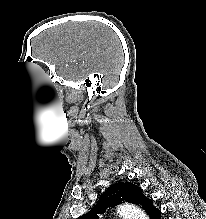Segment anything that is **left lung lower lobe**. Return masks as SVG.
I'll return each mask as SVG.
<instances>
[{
    "mask_svg": "<svg viewBox=\"0 0 206 219\" xmlns=\"http://www.w3.org/2000/svg\"><path fill=\"white\" fill-rule=\"evenodd\" d=\"M147 214L150 217V219H160L161 212L153 206L152 202L149 210L147 211Z\"/></svg>",
    "mask_w": 206,
    "mask_h": 219,
    "instance_id": "left-lung-lower-lobe-1",
    "label": "left lung lower lobe"
}]
</instances>
